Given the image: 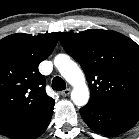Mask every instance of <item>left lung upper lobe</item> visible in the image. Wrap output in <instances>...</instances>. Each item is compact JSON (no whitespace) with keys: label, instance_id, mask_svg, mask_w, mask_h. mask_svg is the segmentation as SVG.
<instances>
[{"label":"left lung upper lobe","instance_id":"1","mask_svg":"<svg viewBox=\"0 0 139 139\" xmlns=\"http://www.w3.org/2000/svg\"><path fill=\"white\" fill-rule=\"evenodd\" d=\"M59 36L85 72L91 92L88 105L112 108L139 102V46L133 40L101 29Z\"/></svg>","mask_w":139,"mask_h":139}]
</instances>
